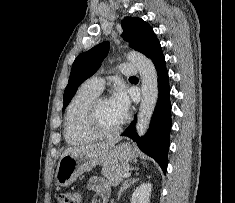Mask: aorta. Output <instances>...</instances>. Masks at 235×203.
<instances>
[{
	"label": "aorta",
	"instance_id": "aorta-1",
	"mask_svg": "<svg viewBox=\"0 0 235 203\" xmlns=\"http://www.w3.org/2000/svg\"><path fill=\"white\" fill-rule=\"evenodd\" d=\"M128 60L138 69L141 77L142 98L136 122V131L143 136L147 131L158 100V76L153 62L138 52H130Z\"/></svg>",
	"mask_w": 235,
	"mask_h": 203
}]
</instances>
